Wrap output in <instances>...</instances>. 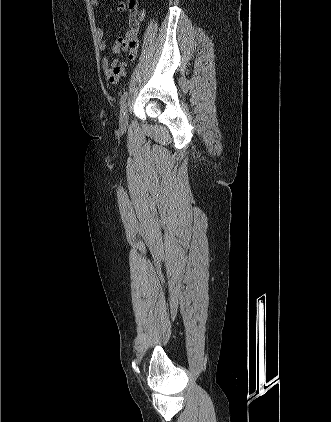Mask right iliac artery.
<instances>
[{"mask_svg": "<svg viewBox=\"0 0 331 422\" xmlns=\"http://www.w3.org/2000/svg\"><path fill=\"white\" fill-rule=\"evenodd\" d=\"M126 99H127V92H124V94L121 96V99H120V105L121 106L124 104Z\"/></svg>", "mask_w": 331, "mask_h": 422, "instance_id": "82829eb1", "label": "right iliac artery"}]
</instances>
